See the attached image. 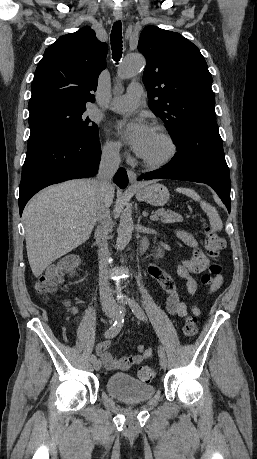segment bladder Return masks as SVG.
<instances>
[{
    "label": "bladder",
    "instance_id": "1",
    "mask_svg": "<svg viewBox=\"0 0 257 459\" xmlns=\"http://www.w3.org/2000/svg\"><path fill=\"white\" fill-rule=\"evenodd\" d=\"M107 393L125 403H142L150 400L155 395V388L136 380L128 373H114L106 382Z\"/></svg>",
    "mask_w": 257,
    "mask_h": 459
}]
</instances>
